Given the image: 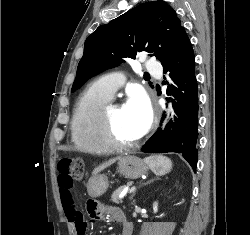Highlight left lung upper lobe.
Wrapping results in <instances>:
<instances>
[{"label":"left lung upper lobe","mask_w":250,"mask_h":235,"mask_svg":"<svg viewBox=\"0 0 250 235\" xmlns=\"http://www.w3.org/2000/svg\"><path fill=\"white\" fill-rule=\"evenodd\" d=\"M183 27L176 12L164 1L143 3L99 26L85 41L71 91L90 77L118 66L124 58L147 52L163 62Z\"/></svg>","instance_id":"left-lung-upper-lobe-1"}]
</instances>
